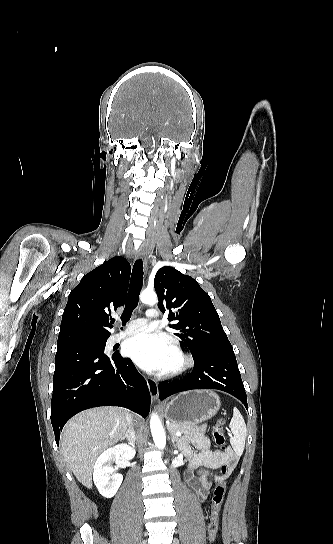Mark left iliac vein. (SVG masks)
I'll return each mask as SVG.
<instances>
[{"label":"left iliac vein","mask_w":333,"mask_h":544,"mask_svg":"<svg viewBox=\"0 0 333 544\" xmlns=\"http://www.w3.org/2000/svg\"><path fill=\"white\" fill-rule=\"evenodd\" d=\"M172 544H179V542L177 539H174Z\"/></svg>","instance_id":"left-iliac-vein-1"}]
</instances>
